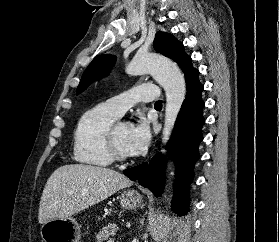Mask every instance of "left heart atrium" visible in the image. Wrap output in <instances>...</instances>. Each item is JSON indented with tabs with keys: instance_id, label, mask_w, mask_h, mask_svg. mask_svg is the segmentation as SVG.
I'll use <instances>...</instances> for the list:
<instances>
[{
	"instance_id": "obj_1",
	"label": "left heart atrium",
	"mask_w": 279,
	"mask_h": 242,
	"mask_svg": "<svg viewBox=\"0 0 279 242\" xmlns=\"http://www.w3.org/2000/svg\"><path fill=\"white\" fill-rule=\"evenodd\" d=\"M150 142V129L147 121L140 118L138 122L130 127L127 141L129 155L136 156L146 150Z\"/></svg>"
}]
</instances>
